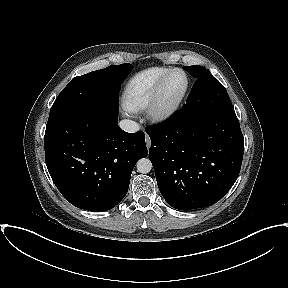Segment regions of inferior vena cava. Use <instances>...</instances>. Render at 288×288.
I'll list each match as a JSON object with an SVG mask.
<instances>
[{
    "mask_svg": "<svg viewBox=\"0 0 288 288\" xmlns=\"http://www.w3.org/2000/svg\"><path fill=\"white\" fill-rule=\"evenodd\" d=\"M119 126L122 130L130 133H134L139 131L140 127L139 125L132 120L129 119H123L119 122Z\"/></svg>",
    "mask_w": 288,
    "mask_h": 288,
    "instance_id": "inferior-vena-cava-1",
    "label": "inferior vena cava"
}]
</instances>
